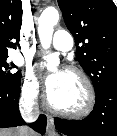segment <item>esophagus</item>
Instances as JSON below:
<instances>
[{"label":"esophagus","instance_id":"34e87169","mask_svg":"<svg viewBox=\"0 0 117 136\" xmlns=\"http://www.w3.org/2000/svg\"><path fill=\"white\" fill-rule=\"evenodd\" d=\"M46 132L50 136L55 135V125H54V119L51 115H47V127Z\"/></svg>","mask_w":117,"mask_h":136}]
</instances>
